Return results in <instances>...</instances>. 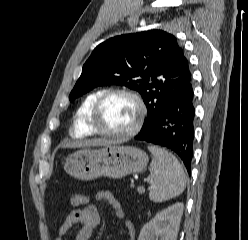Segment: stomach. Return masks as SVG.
<instances>
[{
  "label": "stomach",
  "mask_w": 248,
  "mask_h": 240,
  "mask_svg": "<svg viewBox=\"0 0 248 240\" xmlns=\"http://www.w3.org/2000/svg\"><path fill=\"white\" fill-rule=\"evenodd\" d=\"M148 163L144 151L132 146L107 145L101 149L79 150L64 161V169L81 180L98 177L122 178L128 174L142 172Z\"/></svg>",
  "instance_id": "1"
}]
</instances>
